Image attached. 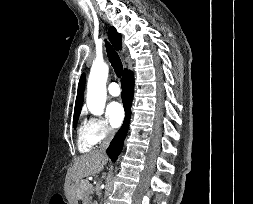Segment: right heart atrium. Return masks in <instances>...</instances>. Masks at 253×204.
<instances>
[{"label": "right heart atrium", "instance_id": "d8ad5b80", "mask_svg": "<svg viewBox=\"0 0 253 204\" xmlns=\"http://www.w3.org/2000/svg\"><path fill=\"white\" fill-rule=\"evenodd\" d=\"M86 124L90 138L94 144L103 143L111 139L114 135L113 128L102 118L90 117Z\"/></svg>", "mask_w": 253, "mask_h": 204}]
</instances>
